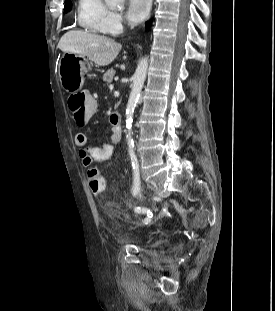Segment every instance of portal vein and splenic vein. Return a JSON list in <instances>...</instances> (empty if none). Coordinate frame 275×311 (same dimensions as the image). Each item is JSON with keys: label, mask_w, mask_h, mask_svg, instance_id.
Here are the masks:
<instances>
[{"label": "portal vein and splenic vein", "mask_w": 275, "mask_h": 311, "mask_svg": "<svg viewBox=\"0 0 275 311\" xmlns=\"http://www.w3.org/2000/svg\"><path fill=\"white\" fill-rule=\"evenodd\" d=\"M109 88H110V89H113V85H110Z\"/></svg>", "instance_id": "1"}]
</instances>
